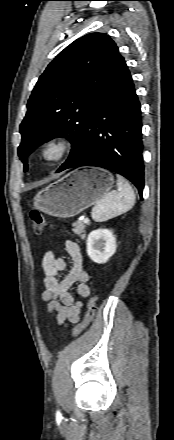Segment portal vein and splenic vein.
<instances>
[{"mask_svg": "<svg viewBox=\"0 0 174 440\" xmlns=\"http://www.w3.org/2000/svg\"><path fill=\"white\" fill-rule=\"evenodd\" d=\"M85 223H87V222H89V219L86 217V218H84V220H83Z\"/></svg>", "mask_w": 174, "mask_h": 440, "instance_id": "obj_1", "label": "portal vein and splenic vein"}]
</instances>
